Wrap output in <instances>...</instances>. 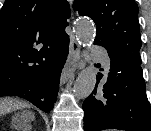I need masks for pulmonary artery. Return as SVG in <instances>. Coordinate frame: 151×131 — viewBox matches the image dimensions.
<instances>
[{"mask_svg": "<svg viewBox=\"0 0 151 131\" xmlns=\"http://www.w3.org/2000/svg\"><path fill=\"white\" fill-rule=\"evenodd\" d=\"M92 53L102 62L106 69L109 68L110 65L109 58L102 48L94 46L92 48Z\"/></svg>", "mask_w": 151, "mask_h": 131, "instance_id": "obj_1", "label": "pulmonary artery"}]
</instances>
